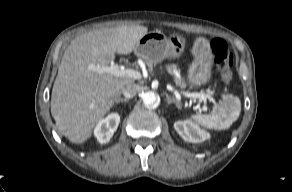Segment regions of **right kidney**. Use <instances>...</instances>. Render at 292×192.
Listing matches in <instances>:
<instances>
[{"mask_svg":"<svg viewBox=\"0 0 292 192\" xmlns=\"http://www.w3.org/2000/svg\"><path fill=\"white\" fill-rule=\"evenodd\" d=\"M120 122V116L117 113H111L106 118L100 120L94 130V135L101 144L107 143Z\"/></svg>","mask_w":292,"mask_h":192,"instance_id":"obj_1","label":"right kidney"}]
</instances>
